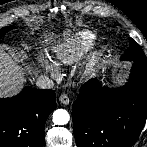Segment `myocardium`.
Segmentation results:
<instances>
[{
	"label": "myocardium",
	"mask_w": 147,
	"mask_h": 147,
	"mask_svg": "<svg viewBox=\"0 0 147 147\" xmlns=\"http://www.w3.org/2000/svg\"><path fill=\"white\" fill-rule=\"evenodd\" d=\"M105 50L103 47L93 49L83 63V74L87 77L93 76L103 65Z\"/></svg>",
	"instance_id": "myocardium-1"
}]
</instances>
